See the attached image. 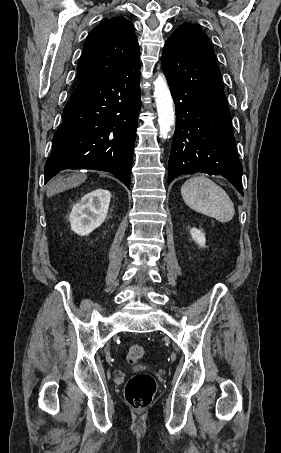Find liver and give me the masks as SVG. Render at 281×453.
<instances>
[{"label":"liver","instance_id":"1","mask_svg":"<svg viewBox=\"0 0 281 453\" xmlns=\"http://www.w3.org/2000/svg\"><path fill=\"white\" fill-rule=\"evenodd\" d=\"M86 174H73V176H68V178H56V180H51L47 186L46 194L47 196H53L57 192H63V190H68V188H74V186H79L81 182L86 180Z\"/></svg>","mask_w":281,"mask_h":453}]
</instances>
